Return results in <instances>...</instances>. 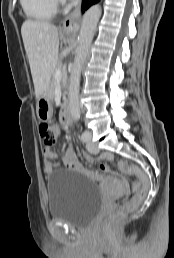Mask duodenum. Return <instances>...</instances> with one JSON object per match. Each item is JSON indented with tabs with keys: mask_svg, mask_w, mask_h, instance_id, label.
<instances>
[{
	"mask_svg": "<svg viewBox=\"0 0 174 258\" xmlns=\"http://www.w3.org/2000/svg\"><path fill=\"white\" fill-rule=\"evenodd\" d=\"M60 118L64 123H69L71 120L70 104L64 101L61 107Z\"/></svg>",
	"mask_w": 174,
	"mask_h": 258,
	"instance_id": "obj_1",
	"label": "duodenum"
}]
</instances>
